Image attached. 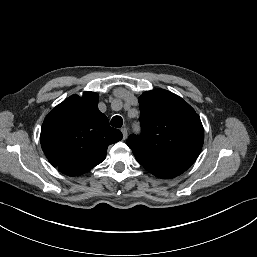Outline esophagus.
<instances>
[{
    "instance_id": "34e87169",
    "label": "esophagus",
    "mask_w": 257,
    "mask_h": 257,
    "mask_svg": "<svg viewBox=\"0 0 257 257\" xmlns=\"http://www.w3.org/2000/svg\"><path fill=\"white\" fill-rule=\"evenodd\" d=\"M121 132H122V134H123V139L125 140V139L127 138V136H128L127 128H126V127H123V128L121 129Z\"/></svg>"
}]
</instances>
